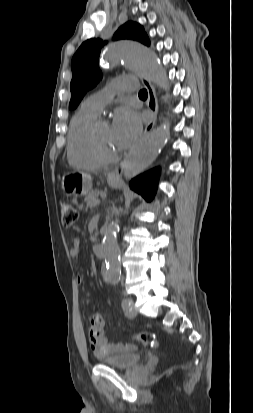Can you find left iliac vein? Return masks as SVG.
<instances>
[{"mask_svg": "<svg viewBox=\"0 0 253 413\" xmlns=\"http://www.w3.org/2000/svg\"><path fill=\"white\" fill-rule=\"evenodd\" d=\"M125 315L128 318H134L137 315V310L134 307V303L130 300V305L128 307H124Z\"/></svg>", "mask_w": 253, "mask_h": 413, "instance_id": "4c4485c4", "label": "left iliac vein"}]
</instances>
